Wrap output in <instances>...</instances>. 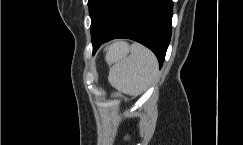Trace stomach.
I'll list each match as a JSON object with an SVG mask.
<instances>
[{"label": "stomach", "mask_w": 243, "mask_h": 145, "mask_svg": "<svg viewBox=\"0 0 243 145\" xmlns=\"http://www.w3.org/2000/svg\"><path fill=\"white\" fill-rule=\"evenodd\" d=\"M111 49H114L117 55H126V53H128L129 47L126 43L120 42V43H115V44L111 45L109 47L108 52Z\"/></svg>", "instance_id": "obj_1"}]
</instances>
